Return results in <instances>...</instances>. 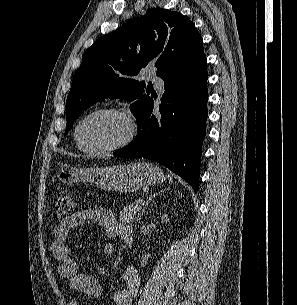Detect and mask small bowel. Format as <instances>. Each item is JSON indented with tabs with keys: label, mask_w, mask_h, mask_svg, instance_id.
Listing matches in <instances>:
<instances>
[{
	"label": "small bowel",
	"mask_w": 297,
	"mask_h": 305,
	"mask_svg": "<svg viewBox=\"0 0 297 305\" xmlns=\"http://www.w3.org/2000/svg\"><path fill=\"white\" fill-rule=\"evenodd\" d=\"M86 222L103 227L107 237H122L123 231L132 229V226L119 222L111 210L97 207L78 211L60 221L52 230L50 249L58 261V274L66 281L69 291L87 298H99L103 294L101 285L93 276L78 272L77 264L65 244L69 231ZM104 252L107 255L113 254V244H106ZM139 288L140 277L138 271L132 266L127 267L122 274L121 286L113 290L109 304L132 305L133 298L138 293ZM69 305H78V301L72 300Z\"/></svg>",
	"instance_id": "obj_1"
}]
</instances>
